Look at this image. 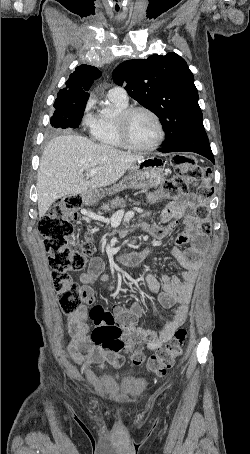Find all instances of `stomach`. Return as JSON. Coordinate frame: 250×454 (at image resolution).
<instances>
[{
  "label": "stomach",
  "mask_w": 250,
  "mask_h": 454,
  "mask_svg": "<svg viewBox=\"0 0 250 454\" xmlns=\"http://www.w3.org/2000/svg\"><path fill=\"white\" fill-rule=\"evenodd\" d=\"M165 176V164L157 157H147L136 161L129 168V176L120 185L109 190L115 193L123 188H151L159 185ZM101 198V194L96 190H89L82 194L83 202L92 205Z\"/></svg>",
  "instance_id": "obj_1"
}]
</instances>
